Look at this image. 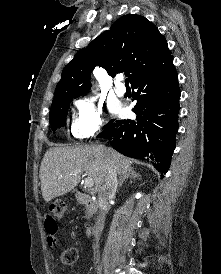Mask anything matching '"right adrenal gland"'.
<instances>
[{
    "instance_id": "2a0ac1e0",
    "label": "right adrenal gland",
    "mask_w": 221,
    "mask_h": 274,
    "mask_svg": "<svg viewBox=\"0 0 221 274\" xmlns=\"http://www.w3.org/2000/svg\"><path fill=\"white\" fill-rule=\"evenodd\" d=\"M139 177H140V175L138 173H136L134 170H130L128 173L121 174L120 179H119V187H121L123 185V182L125 180L130 179L132 182V180H135Z\"/></svg>"
}]
</instances>
